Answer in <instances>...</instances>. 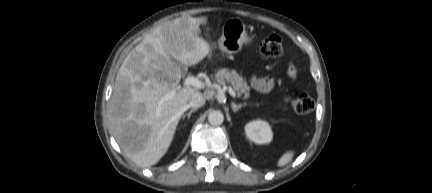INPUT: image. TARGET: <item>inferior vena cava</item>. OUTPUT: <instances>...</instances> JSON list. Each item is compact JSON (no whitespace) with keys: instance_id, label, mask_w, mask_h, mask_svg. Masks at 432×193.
I'll use <instances>...</instances> for the list:
<instances>
[{"instance_id":"obj_1","label":"inferior vena cava","mask_w":432,"mask_h":193,"mask_svg":"<svg viewBox=\"0 0 432 193\" xmlns=\"http://www.w3.org/2000/svg\"><path fill=\"white\" fill-rule=\"evenodd\" d=\"M206 100L204 96L200 92H196L191 96L189 101V105L194 108L202 107L205 104Z\"/></svg>"}]
</instances>
